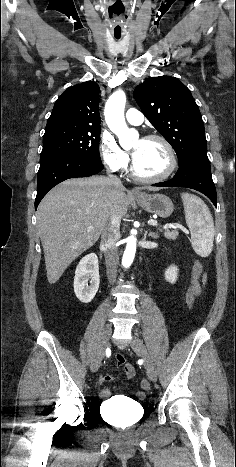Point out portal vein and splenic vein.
<instances>
[{"instance_id":"18ae733b","label":"portal vein and splenic vein","mask_w":236,"mask_h":467,"mask_svg":"<svg viewBox=\"0 0 236 467\" xmlns=\"http://www.w3.org/2000/svg\"><path fill=\"white\" fill-rule=\"evenodd\" d=\"M148 224H149V225H152V226H157V225H158L157 221H156V220H152V219L148 221ZM163 228H164V229H167L168 227H167V226H164Z\"/></svg>"}]
</instances>
